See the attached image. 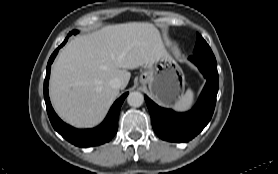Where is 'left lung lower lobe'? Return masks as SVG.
I'll use <instances>...</instances> for the list:
<instances>
[{"mask_svg": "<svg viewBox=\"0 0 278 174\" xmlns=\"http://www.w3.org/2000/svg\"><path fill=\"white\" fill-rule=\"evenodd\" d=\"M192 61L207 79L199 101L186 113H176L156 105L145 96L150 112L152 126L163 140L171 142H188L198 135L211 120L218 92L217 65L201 58L191 56Z\"/></svg>", "mask_w": 278, "mask_h": 174, "instance_id": "obj_1", "label": "left lung lower lobe"}]
</instances>
